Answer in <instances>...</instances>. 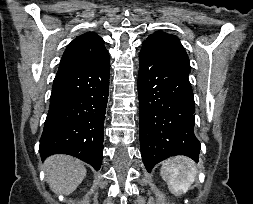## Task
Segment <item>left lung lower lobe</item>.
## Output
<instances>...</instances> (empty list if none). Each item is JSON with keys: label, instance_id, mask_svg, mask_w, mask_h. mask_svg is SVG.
<instances>
[{"label": "left lung lower lobe", "instance_id": "left-lung-lower-lobe-1", "mask_svg": "<svg viewBox=\"0 0 253 204\" xmlns=\"http://www.w3.org/2000/svg\"><path fill=\"white\" fill-rule=\"evenodd\" d=\"M188 74L151 50L139 53L140 146L148 171L173 155L198 162L200 142L194 134L195 103Z\"/></svg>", "mask_w": 253, "mask_h": 204}]
</instances>
